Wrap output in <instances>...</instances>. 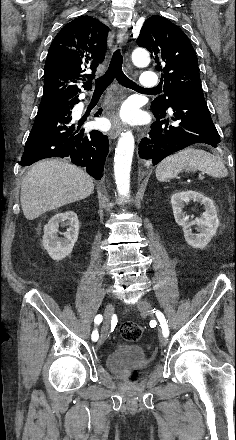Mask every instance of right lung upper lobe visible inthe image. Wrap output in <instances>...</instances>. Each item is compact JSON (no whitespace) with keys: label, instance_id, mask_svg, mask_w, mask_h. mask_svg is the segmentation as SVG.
<instances>
[{"label":"right lung upper lobe","instance_id":"right-lung-upper-lobe-1","mask_svg":"<svg viewBox=\"0 0 236 440\" xmlns=\"http://www.w3.org/2000/svg\"><path fill=\"white\" fill-rule=\"evenodd\" d=\"M107 35L108 27L90 16L76 18L60 30L45 61L41 103L78 97L80 82L91 89L96 68L105 58Z\"/></svg>","mask_w":236,"mask_h":440}]
</instances>
